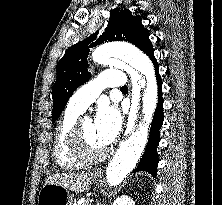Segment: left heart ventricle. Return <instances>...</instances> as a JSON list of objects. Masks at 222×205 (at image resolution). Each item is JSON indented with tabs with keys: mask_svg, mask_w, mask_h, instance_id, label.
<instances>
[{
	"mask_svg": "<svg viewBox=\"0 0 222 205\" xmlns=\"http://www.w3.org/2000/svg\"><path fill=\"white\" fill-rule=\"evenodd\" d=\"M81 130L85 145L90 153H97L105 149V146H103L96 137L91 120H83Z\"/></svg>",
	"mask_w": 222,
	"mask_h": 205,
	"instance_id": "b2bd125f",
	"label": "left heart ventricle"
}]
</instances>
